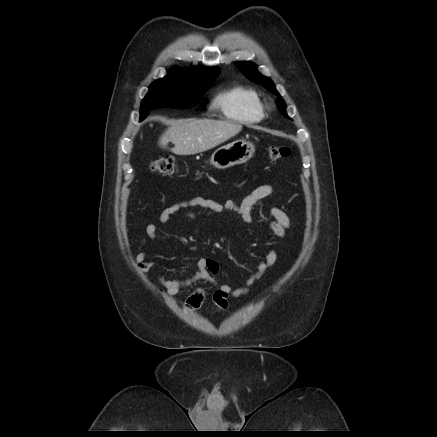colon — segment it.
Returning a JSON list of instances; mask_svg holds the SVG:
<instances>
[{"label": "colon", "mask_w": 437, "mask_h": 437, "mask_svg": "<svg viewBox=\"0 0 437 437\" xmlns=\"http://www.w3.org/2000/svg\"><path fill=\"white\" fill-rule=\"evenodd\" d=\"M291 154L288 146H272L268 149V158L271 161L282 159ZM151 170L162 175H170L176 171V160L172 156H164L151 163Z\"/></svg>", "instance_id": "colon-1"}]
</instances>
